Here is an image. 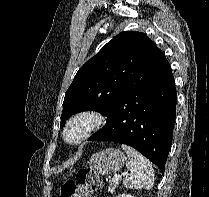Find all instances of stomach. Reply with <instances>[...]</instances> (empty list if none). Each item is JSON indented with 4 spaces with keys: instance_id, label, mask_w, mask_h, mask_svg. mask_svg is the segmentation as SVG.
<instances>
[{
    "instance_id": "stomach-1",
    "label": "stomach",
    "mask_w": 209,
    "mask_h": 197,
    "mask_svg": "<svg viewBox=\"0 0 209 197\" xmlns=\"http://www.w3.org/2000/svg\"><path fill=\"white\" fill-rule=\"evenodd\" d=\"M124 163V154L120 150L113 148L93 154L88 161L90 171L100 175L116 173L122 169Z\"/></svg>"
}]
</instances>
